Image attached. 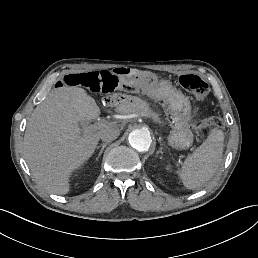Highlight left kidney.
<instances>
[{
    "instance_id": "left-kidney-1",
    "label": "left kidney",
    "mask_w": 258,
    "mask_h": 258,
    "mask_svg": "<svg viewBox=\"0 0 258 258\" xmlns=\"http://www.w3.org/2000/svg\"><path fill=\"white\" fill-rule=\"evenodd\" d=\"M172 167H173V165H172V163L171 162H166V164H165V170L167 171V172H169V171H171L172 170Z\"/></svg>"
}]
</instances>
